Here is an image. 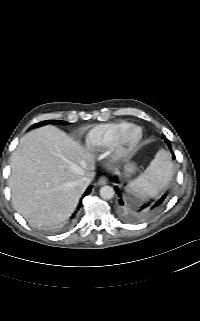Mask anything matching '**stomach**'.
<instances>
[{"label": "stomach", "instance_id": "0dacf381", "mask_svg": "<svg viewBox=\"0 0 200 321\" xmlns=\"http://www.w3.org/2000/svg\"><path fill=\"white\" fill-rule=\"evenodd\" d=\"M138 171V168L135 163L128 162L124 167V176L126 178H130L131 176L135 175Z\"/></svg>", "mask_w": 200, "mask_h": 321}]
</instances>
